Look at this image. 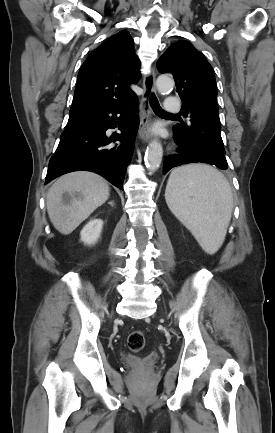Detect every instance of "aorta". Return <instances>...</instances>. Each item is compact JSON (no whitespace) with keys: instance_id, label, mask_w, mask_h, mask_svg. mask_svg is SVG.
Instances as JSON below:
<instances>
[{"instance_id":"obj_1","label":"aorta","mask_w":275,"mask_h":433,"mask_svg":"<svg viewBox=\"0 0 275 433\" xmlns=\"http://www.w3.org/2000/svg\"><path fill=\"white\" fill-rule=\"evenodd\" d=\"M157 89L160 92L172 90L174 87V80L166 75H161L156 81ZM163 148L159 141H152L145 154V164L150 171L157 170L162 162Z\"/></svg>"}]
</instances>
